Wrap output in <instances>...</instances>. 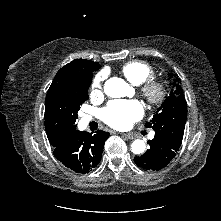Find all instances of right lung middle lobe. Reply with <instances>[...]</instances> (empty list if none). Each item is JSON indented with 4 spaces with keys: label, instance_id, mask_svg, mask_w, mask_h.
Returning <instances> with one entry per match:
<instances>
[{
    "label": "right lung middle lobe",
    "instance_id": "obj_1",
    "mask_svg": "<svg viewBox=\"0 0 221 221\" xmlns=\"http://www.w3.org/2000/svg\"><path fill=\"white\" fill-rule=\"evenodd\" d=\"M90 84L83 82L67 91L47 93L44 114L47 135L67 137L76 130L77 113L89 97Z\"/></svg>",
    "mask_w": 221,
    "mask_h": 221
}]
</instances>
